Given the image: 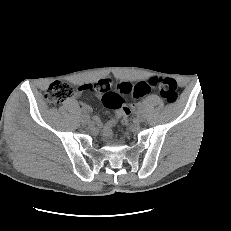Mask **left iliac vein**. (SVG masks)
Listing matches in <instances>:
<instances>
[{"instance_id":"1","label":"left iliac vein","mask_w":231,"mask_h":231,"mask_svg":"<svg viewBox=\"0 0 231 231\" xmlns=\"http://www.w3.org/2000/svg\"><path fill=\"white\" fill-rule=\"evenodd\" d=\"M137 119H138L139 122H144L145 121V115H144V113L138 112Z\"/></svg>"}]
</instances>
